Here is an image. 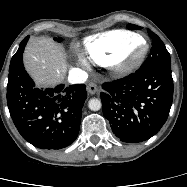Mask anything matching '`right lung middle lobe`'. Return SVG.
Segmentation results:
<instances>
[{"mask_svg":"<svg viewBox=\"0 0 187 187\" xmlns=\"http://www.w3.org/2000/svg\"><path fill=\"white\" fill-rule=\"evenodd\" d=\"M55 41H58V42H61L62 41V38H54Z\"/></svg>","mask_w":187,"mask_h":187,"instance_id":"dd1d6c3e","label":"right lung middle lobe"}]
</instances>
